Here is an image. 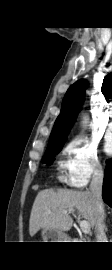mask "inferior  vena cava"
<instances>
[{
	"instance_id": "602c4592",
	"label": "inferior vena cava",
	"mask_w": 112,
	"mask_h": 270,
	"mask_svg": "<svg viewBox=\"0 0 112 270\" xmlns=\"http://www.w3.org/2000/svg\"><path fill=\"white\" fill-rule=\"evenodd\" d=\"M104 172L99 165L93 173L90 183V193L95 204L96 221H95V235L97 242H107V237L104 231V205L102 200V185Z\"/></svg>"
}]
</instances>
